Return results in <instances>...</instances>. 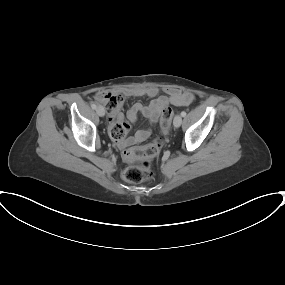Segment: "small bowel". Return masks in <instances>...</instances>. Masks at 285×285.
<instances>
[{"label": "small bowel", "instance_id": "small-bowel-1", "mask_svg": "<svg viewBox=\"0 0 285 285\" xmlns=\"http://www.w3.org/2000/svg\"><path fill=\"white\" fill-rule=\"evenodd\" d=\"M158 89L156 87H143L138 89H124L121 91H115L116 94L122 98L128 97H148L152 98L148 105H142L141 103L133 104L127 111V119L131 122H135L138 119L139 114H142L151 124L158 121L160 113L169 105L184 106L189 105L194 100V95L189 92H182L177 89H169L167 95L158 96ZM110 130L122 126L124 122L123 114L113 113L109 114ZM151 136L150 129L138 130L134 136L124 138L119 145L121 147H127L137 142H143Z\"/></svg>", "mask_w": 285, "mask_h": 285}]
</instances>
